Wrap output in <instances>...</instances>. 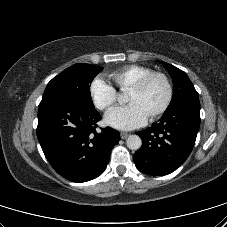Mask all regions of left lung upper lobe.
<instances>
[{"label":"left lung upper lobe","mask_w":227,"mask_h":227,"mask_svg":"<svg viewBox=\"0 0 227 227\" xmlns=\"http://www.w3.org/2000/svg\"><path fill=\"white\" fill-rule=\"evenodd\" d=\"M162 63L169 71L173 80V97L166 111L185 99L198 98L197 91L184 71L166 62Z\"/></svg>","instance_id":"5c2ea615"}]
</instances>
